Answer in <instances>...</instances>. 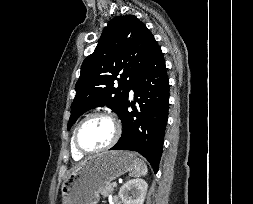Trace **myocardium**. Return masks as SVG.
<instances>
[{
    "label": "myocardium",
    "mask_w": 253,
    "mask_h": 204,
    "mask_svg": "<svg viewBox=\"0 0 253 204\" xmlns=\"http://www.w3.org/2000/svg\"><path fill=\"white\" fill-rule=\"evenodd\" d=\"M96 117H103V118H107L108 120H110L114 125L115 132H114L113 138L110 140V142L107 145H105L101 148H98V149H94V150H86V149L82 148L79 144V141H78L79 131H80L81 127L87 121H89L90 119L96 118ZM121 133H122L121 124L112 114L107 113V112H94V113L87 115L85 118H83L79 122L77 127L75 128V130L73 132V145H74V148L76 149V151L81 155L96 154V153H100V152H103V151H106V150L112 148L120 139Z\"/></svg>",
    "instance_id": "obj_1"
}]
</instances>
